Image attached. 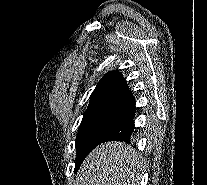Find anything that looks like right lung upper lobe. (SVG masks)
Returning <instances> with one entry per match:
<instances>
[{
  "mask_svg": "<svg viewBox=\"0 0 207 185\" xmlns=\"http://www.w3.org/2000/svg\"><path fill=\"white\" fill-rule=\"evenodd\" d=\"M135 105L132 92L118 71L104 75L90 96L87 111L105 109L126 112Z\"/></svg>",
  "mask_w": 207,
  "mask_h": 185,
  "instance_id": "1",
  "label": "right lung upper lobe"
}]
</instances>
